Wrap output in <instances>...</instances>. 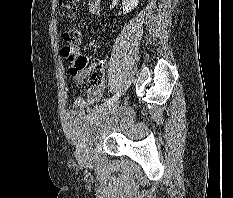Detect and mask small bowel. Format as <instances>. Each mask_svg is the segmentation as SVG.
<instances>
[{
	"label": "small bowel",
	"mask_w": 233,
	"mask_h": 198,
	"mask_svg": "<svg viewBox=\"0 0 233 198\" xmlns=\"http://www.w3.org/2000/svg\"><path fill=\"white\" fill-rule=\"evenodd\" d=\"M62 55L67 57L73 64L69 68V73L73 77L76 86H81L84 79L97 63L88 65V59L86 57L80 56L78 50L73 47H64L62 49ZM80 60L84 62L79 63ZM105 92L104 84H100L88 91L87 97H77L74 100L73 106L79 110H86L90 108L93 104L101 100Z\"/></svg>",
	"instance_id": "1"
}]
</instances>
